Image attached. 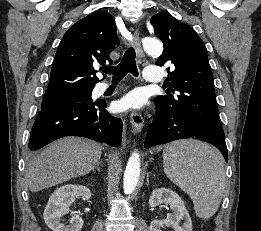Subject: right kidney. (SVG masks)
Here are the masks:
<instances>
[{
  "label": "right kidney",
  "instance_id": "obj_1",
  "mask_svg": "<svg viewBox=\"0 0 261 231\" xmlns=\"http://www.w3.org/2000/svg\"><path fill=\"white\" fill-rule=\"evenodd\" d=\"M76 196L90 199L91 191L88 187L75 184H67L57 188L50 196L44 210V220L52 231H80L83 220L74 216L69 225L61 223V218L69 212V206L75 201Z\"/></svg>",
  "mask_w": 261,
  "mask_h": 231
}]
</instances>
